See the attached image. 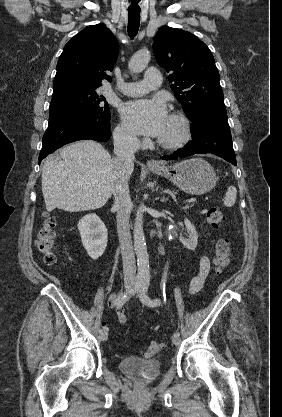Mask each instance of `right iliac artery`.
Returning <instances> with one entry per match:
<instances>
[{
	"label": "right iliac artery",
	"instance_id": "obj_1",
	"mask_svg": "<svg viewBox=\"0 0 282 417\" xmlns=\"http://www.w3.org/2000/svg\"><path fill=\"white\" fill-rule=\"evenodd\" d=\"M142 283H143V280L142 279H140V278H137L136 280H135V283H134V286H133V288L132 289H130V291H128V292H126V293H121V294H118L117 296H116V298L114 299V301H113V306H116V307H121V306H123L128 300H129V298L131 297V296H133V295H135L138 291H139V289L141 288V286H142ZM106 330V328H103V329H101V332H103V331H105Z\"/></svg>",
	"mask_w": 282,
	"mask_h": 417
}]
</instances>
